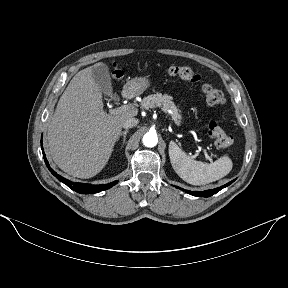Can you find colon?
I'll list each match as a JSON object with an SVG mask.
<instances>
[{"label": "colon", "instance_id": "5ec220e1", "mask_svg": "<svg viewBox=\"0 0 288 288\" xmlns=\"http://www.w3.org/2000/svg\"><path fill=\"white\" fill-rule=\"evenodd\" d=\"M169 74L191 83H199L201 81L200 75L189 66H172L169 68ZM201 89L209 106L219 107L225 103L223 92L213 85L205 83L202 84ZM208 135L219 150L226 151L232 144L231 137L216 122L209 124Z\"/></svg>", "mask_w": 288, "mask_h": 288}]
</instances>
